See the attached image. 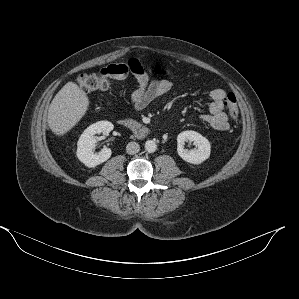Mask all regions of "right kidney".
<instances>
[{"label":"right kidney","mask_w":299,"mask_h":299,"mask_svg":"<svg viewBox=\"0 0 299 299\" xmlns=\"http://www.w3.org/2000/svg\"><path fill=\"white\" fill-rule=\"evenodd\" d=\"M114 126L108 121H99L90 125L80 136L77 143V157L89 168H94L97 165L107 161L112 154L109 148H104L99 152H95V135L100 133H109Z\"/></svg>","instance_id":"ca27d5eb"}]
</instances>
